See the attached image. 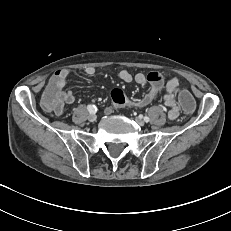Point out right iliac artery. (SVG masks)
<instances>
[{"mask_svg":"<svg viewBox=\"0 0 231 231\" xmlns=\"http://www.w3.org/2000/svg\"><path fill=\"white\" fill-rule=\"evenodd\" d=\"M87 109L90 113H95L97 111V108L94 105H88Z\"/></svg>","mask_w":231,"mask_h":231,"instance_id":"82829eb1","label":"right iliac artery"}]
</instances>
